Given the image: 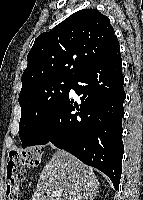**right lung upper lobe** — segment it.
Returning <instances> with one entry per match:
<instances>
[{"label": "right lung upper lobe", "mask_w": 143, "mask_h": 200, "mask_svg": "<svg viewBox=\"0 0 143 200\" xmlns=\"http://www.w3.org/2000/svg\"><path fill=\"white\" fill-rule=\"evenodd\" d=\"M114 33L108 17L96 9L73 13L35 40L27 56L21 90L51 79L73 80L119 47Z\"/></svg>", "instance_id": "obj_1"}]
</instances>
